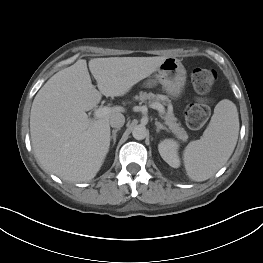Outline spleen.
Listing matches in <instances>:
<instances>
[{
    "instance_id": "obj_1",
    "label": "spleen",
    "mask_w": 263,
    "mask_h": 263,
    "mask_svg": "<svg viewBox=\"0 0 263 263\" xmlns=\"http://www.w3.org/2000/svg\"><path fill=\"white\" fill-rule=\"evenodd\" d=\"M238 133L236 105L228 99L221 100L202 138L190 142L184 150V166L190 179L200 182L213 176L231 156Z\"/></svg>"
}]
</instances>
